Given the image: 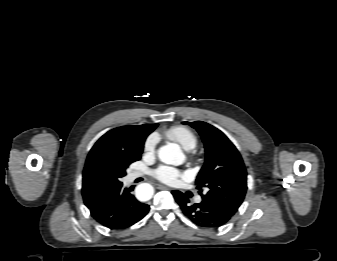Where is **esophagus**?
Masks as SVG:
<instances>
[{
    "instance_id": "esophagus-1",
    "label": "esophagus",
    "mask_w": 337,
    "mask_h": 261,
    "mask_svg": "<svg viewBox=\"0 0 337 261\" xmlns=\"http://www.w3.org/2000/svg\"><path fill=\"white\" fill-rule=\"evenodd\" d=\"M156 187L160 190H165V189H169L168 187L162 185V184H156Z\"/></svg>"
}]
</instances>
